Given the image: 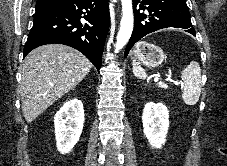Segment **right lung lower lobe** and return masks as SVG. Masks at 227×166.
I'll return each mask as SVG.
<instances>
[{
	"instance_id": "right-lung-lower-lobe-1",
	"label": "right lung lower lobe",
	"mask_w": 227,
	"mask_h": 166,
	"mask_svg": "<svg viewBox=\"0 0 227 166\" xmlns=\"http://www.w3.org/2000/svg\"><path fill=\"white\" fill-rule=\"evenodd\" d=\"M108 26L107 0H65L48 6L35 13L24 57L42 45L64 44L83 53L99 71Z\"/></svg>"
}]
</instances>
